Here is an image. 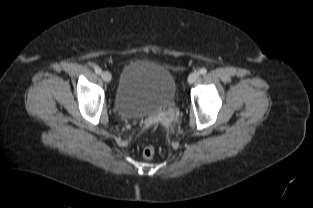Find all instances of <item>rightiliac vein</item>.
Wrapping results in <instances>:
<instances>
[{"label":"right iliac vein","instance_id":"obj_1","mask_svg":"<svg viewBox=\"0 0 313 208\" xmlns=\"http://www.w3.org/2000/svg\"><path fill=\"white\" fill-rule=\"evenodd\" d=\"M101 77L107 83L111 81V73L109 71H103Z\"/></svg>","mask_w":313,"mask_h":208}]
</instances>
